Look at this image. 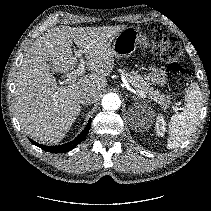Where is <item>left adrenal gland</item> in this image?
<instances>
[{
    "label": "left adrenal gland",
    "mask_w": 211,
    "mask_h": 211,
    "mask_svg": "<svg viewBox=\"0 0 211 211\" xmlns=\"http://www.w3.org/2000/svg\"><path fill=\"white\" fill-rule=\"evenodd\" d=\"M133 98L136 100L137 98L133 96Z\"/></svg>",
    "instance_id": "obj_1"
}]
</instances>
